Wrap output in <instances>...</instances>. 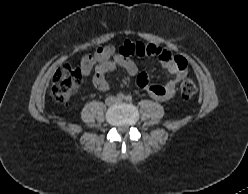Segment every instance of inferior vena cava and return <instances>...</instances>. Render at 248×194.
<instances>
[{"mask_svg": "<svg viewBox=\"0 0 248 194\" xmlns=\"http://www.w3.org/2000/svg\"><path fill=\"white\" fill-rule=\"evenodd\" d=\"M116 101H117V99L115 97L109 96L106 98L105 103L107 105H111V104H114Z\"/></svg>", "mask_w": 248, "mask_h": 194, "instance_id": "1", "label": "inferior vena cava"}]
</instances>
